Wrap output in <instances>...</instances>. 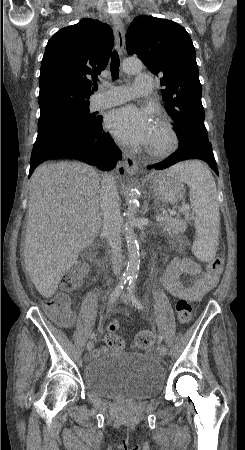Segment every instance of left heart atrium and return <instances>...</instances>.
I'll list each match as a JSON object with an SVG mask.
<instances>
[{
    "mask_svg": "<svg viewBox=\"0 0 245 450\" xmlns=\"http://www.w3.org/2000/svg\"><path fill=\"white\" fill-rule=\"evenodd\" d=\"M106 124L118 141L133 146L149 143L155 130L150 111L135 105L112 110L106 117Z\"/></svg>",
    "mask_w": 245,
    "mask_h": 450,
    "instance_id": "obj_1",
    "label": "left heart atrium"
}]
</instances>
